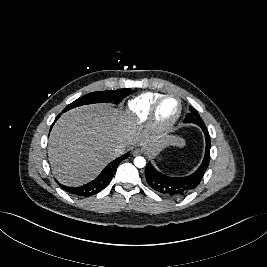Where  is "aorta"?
I'll use <instances>...</instances> for the list:
<instances>
[{
  "mask_svg": "<svg viewBox=\"0 0 267 267\" xmlns=\"http://www.w3.org/2000/svg\"><path fill=\"white\" fill-rule=\"evenodd\" d=\"M134 165L138 168H143L146 165V160L142 156H137L134 159Z\"/></svg>",
  "mask_w": 267,
  "mask_h": 267,
  "instance_id": "aorta-1",
  "label": "aorta"
}]
</instances>
